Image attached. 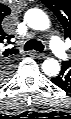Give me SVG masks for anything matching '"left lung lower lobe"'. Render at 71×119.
<instances>
[{"label":"left lung lower lobe","instance_id":"0a47b994","mask_svg":"<svg viewBox=\"0 0 71 119\" xmlns=\"http://www.w3.org/2000/svg\"><path fill=\"white\" fill-rule=\"evenodd\" d=\"M51 81L57 86L69 90L71 88V65L63 62L60 74Z\"/></svg>","mask_w":71,"mask_h":119}]
</instances>
